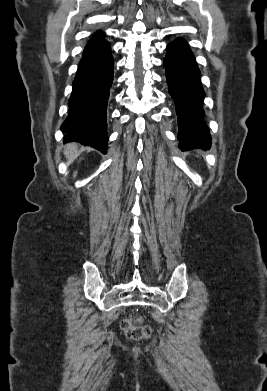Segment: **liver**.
Masks as SVG:
<instances>
[{
	"label": "liver",
	"instance_id": "liver-1",
	"mask_svg": "<svg viewBox=\"0 0 267 391\" xmlns=\"http://www.w3.org/2000/svg\"><path fill=\"white\" fill-rule=\"evenodd\" d=\"M65 156L67 159L72 160L77 156V146L72 143L65 146Z\"/></svg>",
	"mask_w": 267,
	"mask_h": 391
}]
</instances>
